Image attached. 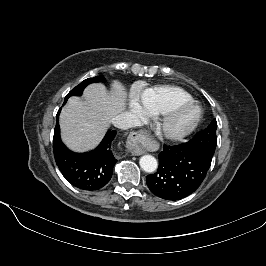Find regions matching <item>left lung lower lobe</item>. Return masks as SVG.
<instances>
[{
    "mask_svg": "<svg viewBox=\"0 0 266 266\" xmlns=\"http://www.w3.org/2000/svg\"><path fill=\"white\" fill-rule=\"evenodd\" d=\"M211 161L190 141L177 145H164L159 154V168L146 177L150 191L166 200H179L193 193L204 180Z\"/></svg>",
    "mask_w": 266,
    "mask_h": 266,
    "instance_id": "left-lung-lower-lobe-1",
    "label": "left lung lower lobe"
}]
</instances>
